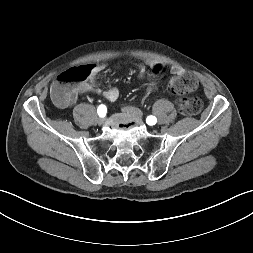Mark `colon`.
Wrapping results in <instances>:
<instances>
[{
    "label": "colon",
    "mask_w": 253,
    "mask_h": 253,
    "mask_svg": "<svg viewBox=\"0 0 253 253\" xmlns=\"http://www.w3.org/2000/svg\"><path fill=\"white\" fill-rule=\"evenodd\" d=\"M90 69L86 67L72 68L61 73L51 89L52 99L61 106L68 105L75 96L77 83H81L89 76ZM198 85L195 75L183 72L175 76L170 81L171 91L178 96L179 111L183 115H196L202 109V101L197 97H190ZM157 83L147 86L142 94L143 100H148L149 96L157 92Z\"/></svg>",
    "instance_id": "obj_1"
}]
</instances>
